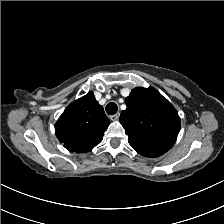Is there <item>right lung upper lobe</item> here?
Here are the masks:
<instances>
[{
  "label": "right lung upper lobe",
  "mask_w": 224,
  "mask_h": 224,
  "mask_svg": "<svg viewBox=\"0 0 224 224\" xmlns=\"http://www.w3.org/2000/svg\"><path fill=\"white\" fill-rule=\"evenodd\" d=\"M110 124L93 92L72 102L55 124L56 136L75 152H88L98 145Z\"/></svg>",
  "instance_id": "obj_1"
}]
</instances>
